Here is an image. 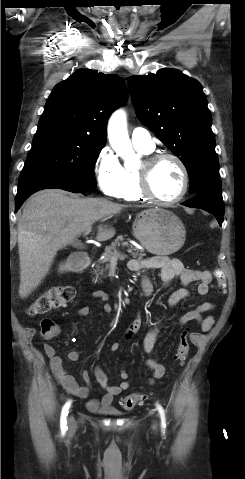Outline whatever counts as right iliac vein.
<instances>
[{"label":"right iliac vein","instance_id":"1","mask_svg":"<svg viewBox=\"0 0 245 479\" xmlns=\"http://www.w3.org/2000/svg\"><path fill=\"white\" fill-rule=\"evenodd\" d=\"M68 427L70 432H73L76 429V421L73 416L68 417Z\"/></svg>","mask_w":245,"mask_h":479}]
</instances>
